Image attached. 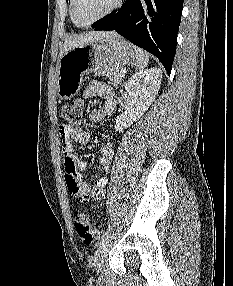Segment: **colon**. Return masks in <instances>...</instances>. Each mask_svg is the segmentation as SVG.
I'll list each match as a JSON object with an SVG mask.
<instances>
[{"label": "colon", "mask_w": 233, "mask_h": 286, "mask_svg": "<svg viewBox=\"0 0 233 286\" xmlns=\"http://www.w3.org/2000/svg\"><path fill=\"white\" fill-rule=\"evenodd\" d=\"M84 112V103L80 99L72 100L65 103L61 108V116L72 125L80 124ZM75 230L79 239L90 244L98 238L97 231L93 228L90 217L81 211L75 219Z\"/></svg>", "instance_id": "1"}]
</instances>
